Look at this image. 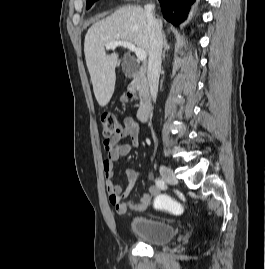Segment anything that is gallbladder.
Returning <instances> with one entry per match:
<instances>
[{
  "instance_id": "gallbladder-1",
  "label": "gallbladder",
  "mask_w": 265,
  "mask_h": 269,
  "mask_svg": "<svg viewBox=\"0 0 265 269\" xmlns=\"http://www.w3.org/2000/svg\"><path fill=\"white\" fill-rule=\"evenodd\" d=\"M123 71L126 73V74H130L132 72L135 71V67L132 65V64H129L127 62H125L123 64Z\"/></svg>"
}]
</instances>
